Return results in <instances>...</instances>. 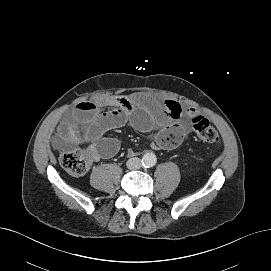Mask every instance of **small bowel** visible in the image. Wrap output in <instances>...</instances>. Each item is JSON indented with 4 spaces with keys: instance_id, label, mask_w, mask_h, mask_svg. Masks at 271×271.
Instances as JSON below:
<instances>
[{
    "instance_id": "1",
    "label": "small bowel",
    "mask_w": 271,
    "mask_h": 271,
    "mask_svg": "<svg viewBox=\"0 0 271 271\" xmlns=\"http://www.w3.org/2000/svg\"><path fill=\"white\" fill-rule=\"evenodd\" d=\"M105 107L110 110L104 111ZM195 112L193 107L183 108L173 100L158 101L144 92L83 101L61 122L54 143L60 149L87 144L94 154V160L110 158L117 154L120 145L117 139L106 137L105 134L131 122L141 131L159 128L155 146L173 149L189 133L180 118Z\"/></svg>"
}]
</instances>
